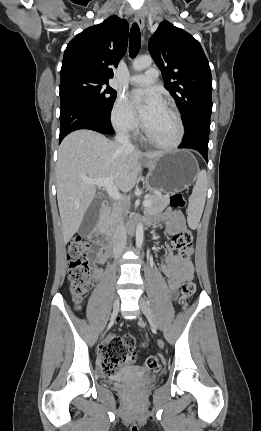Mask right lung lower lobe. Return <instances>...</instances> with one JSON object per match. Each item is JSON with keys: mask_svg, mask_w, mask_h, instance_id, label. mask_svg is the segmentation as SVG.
Returning <instances> with one entry per match:
<instances>
[{"mask_svg": "<svg viewBox=\"0 0 261 431\" xmlns=\"http://www.w3.org/2000/svg\"><path fill=\"white\" fill-rule=\"evenodd\" d=\"M59 143L70 132L79 129L94 130L102 134H112L111 110L99 111L87 103L71 98L60 97Z\"/></svg>", "mask_w": 261, "mask_h": 431, "instance_id": "right-lung-lower-lobe-1", "label": "right lung lower lobe"}]
</instances>
